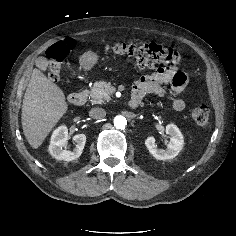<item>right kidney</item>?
I'll list each match as a JSON object with an SVG mask.
<instances>
[{
    "instance_id": "1",
    "label": "right kidney",
    "mask_w": 236,
    "mask_h": 236,
    "mask_svg": "<svg viewBox=\"0 0 236 236\" xmlns=\"http://www.w3.org/2000/svg\"><path fill=\"white\" fill-rule=\"evenodd\" d=\"M69 140L68 129L65 125L59 126L51 136L49 145V153L57 160L73 161L80 157L86 143L85 134H77L73 136L76 143L75 148L70 151L66 150L65 146Z\"/></svg>"
}]
</instances>
